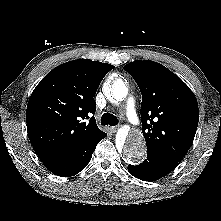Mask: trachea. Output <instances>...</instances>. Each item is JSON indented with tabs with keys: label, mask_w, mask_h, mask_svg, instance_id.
<instances>
[{
	"label": "trachea",
	"mask_w": 221,
	"mask_h": 221,
	"mask_svg": "<svg viewBox=\"0 0 221 221\" xmlns=\"http://www.w3.org/2000/svg\"><path fill=\"white\" fill-rule=\"evenodd\" d=\"M101 124L115 126L118 124V119L113 114L104 113L101 117Z\"/></svg>",
	"instance_id": "obj_1"
}]
</instances>
